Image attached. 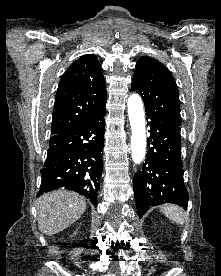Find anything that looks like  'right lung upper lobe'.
I'll return each instance as SVG.
<instances>
[{"mask_svg":"<svg viewBox=\"0 0 221 276\" xmlns=\"http://www.w3.org/2000/svg\"><path fill=\"white\" fill-rule=\"evenodd\" d=\"M106 105V85L96 56L87 54L74 61L57 89L51 134L67 133L90 119Z\"/></svg>","mask_w":221,"mask_h":276,"instance_id":"right-lung-upper-lobe-1","label":"right lung upper lobe"}]
</instances>
